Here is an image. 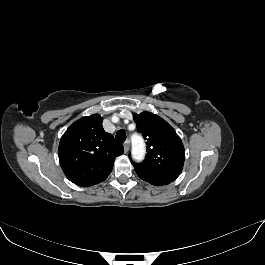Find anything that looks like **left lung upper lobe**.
Here are the masks:
<instances>
[{
	"label": "left lung upper lobe",
	"instance_id": "obj_1",
	"mask_svg": "<svg viewBox=\"0 0 265 265\" xmlns=\"http://www.w3.org/2000/svg\"><path fill=\"white\" fill-rule=\"evenodd\" d=\"M138 131L147 140L146 158L134 163L139 177L148 180L172 182L181 173L185 150L176 131L161 117L150 112L133 114Z\"/></svg>",
	"mask_w": 265,
	"mask_h": 265
}]
</instances>
